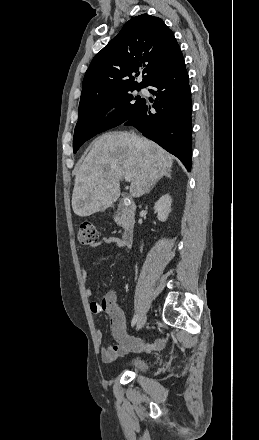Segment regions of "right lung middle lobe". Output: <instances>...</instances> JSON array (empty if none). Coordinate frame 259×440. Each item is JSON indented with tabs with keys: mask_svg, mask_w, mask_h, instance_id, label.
I'll use <instances>...</instances> for the list:
<instances>
[{
	"mask_svg": "<svg viewBox=\"0 0 259 440\" xmlns=\"http://www.w3.org/2000/svg\"><path fill=\"white\" fill-rule=\"evenodd\" d=\"M140 89L133 88L116 92L90 105L79 108V121L75 127L73 137L74 153L85 141L131 118L144 101L139 96L134 97L131 92ZM114 107L116 112L107 119L105 117L106 113Z\"/></svg>",
	"mask_w": 259,
	"mask_h": 440,
	"instance_id": "obj_1",
	"label": "right lung middle lobe"
}]
</instances>
